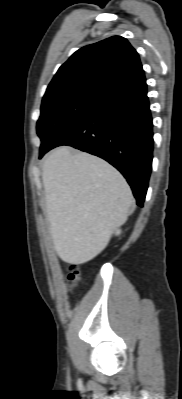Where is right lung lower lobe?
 Segmentation results:
<instances>
[{
  "label": "right lung lower lobe",
  "instance_id": "obj_1",
  "mask_svg": "<svg viewBox=\"0 0 182 399\" xmlns=\"http://www.w3.org/2000/svg\"><path fill=\"white\" fill-rule=\"evenodd\" d=\"M153 124L147 85L106 98L54 139L40 155L70 145L99 156L127 179L139 206H143L152 169Z\"/></svg>",
  "mask_w": 182,
  "mask_h": 399
}]
</instances>
